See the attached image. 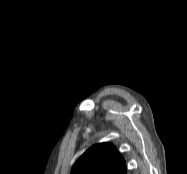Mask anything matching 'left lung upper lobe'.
<instances>
[{
    "instance_id": "left-lung-upper-lobe-1",
    "label": "left lung upper lobe",
    "mask_w": 187,
    "mask_h": 174,
    "mask_svg": "<svg viewBox=\"0 0 187 174\" xmlns=\"http://www.w3.org/2000/svg\"><path fill=\"white\" fill-rule=\"evenodd\" d=\"M71 174H126V165L114 145L99 143L79 157Z\"/></svg>"
}]
</instances>
